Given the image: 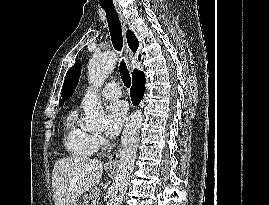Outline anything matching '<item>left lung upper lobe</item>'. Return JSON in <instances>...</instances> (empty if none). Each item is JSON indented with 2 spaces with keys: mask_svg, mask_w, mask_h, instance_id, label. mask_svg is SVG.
<instances>
[{
  "mask_svg": "<svg viewBox=\"0 0 269 205\" xmlns=\"http://www.w3.org/2000/svg\"><path fill=\"white\" fill-rule=\"evenodd\" d=\"M81 64L80 61H77L73 67H71L65 77L64 84L61 90L60 104L68 100L73 94L80 77Z\"/></svg>",
  "mask_w": 269,
  "mask_h": 205,
  "instance_id": "left-lung-upper-lobe-1",
  "label": "left lung upper lobe"
}]
</instances>
